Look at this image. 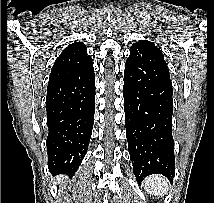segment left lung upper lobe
<instances>
[{
	"label": "left lung upper lobe",
	"instance_id": "5c2ea615",
	"mask_svg": "<svg viewBox=\"0 0 214 203\" xmlns=\"http://www.w3.org/2000/svg\"><path fill=\"white\" fill-rule=\"evenodd\" d=\"M131 49L149 51L164 59L161 50L159 48H157L152 42L147 41V40H140L139 42L134 43L131 46Z\"/></svg>",
	"mask_w": 214,
	"mask_h": 203
}]
</instances>
